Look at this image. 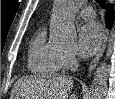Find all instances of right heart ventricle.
<instances>
[{
	"label": "right heart ventricle",
	"mask_w": 115,
	"mask_h": 99,
	"mask_svg": "<svg viewBox=\"0 0 115 99\" xmlns=\"http://www.w3.org/2000/svg\"><path fill=\"white\" fill-rule=\"evenodd\" d=\"M62 55L59 49L46 42L44 29L38 30L29 45L28 68L37 75H54L62 70Z\"/></svg>",
	"instance_id": "right-heart-ventricle-1"
}]
</instances>
